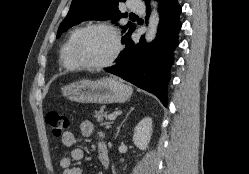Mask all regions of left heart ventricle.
<instances>
[{"label": "left heart ventricle", "mask_w": 249, "mask_h": 174, "mask_svg": "<svg viewBox=\"0 0 249 174\" xmlns=\"http://www.w3.org/2000/svg\"><path fill=\"white\" fill-rule=\"evenodd\" d=\"M114 50V40L110 33L97 29L89 32L79 48L80 57L87 63L98 64L106 61Z\"/></svg>", "instance_id": "obj_1"}]
</instances>
